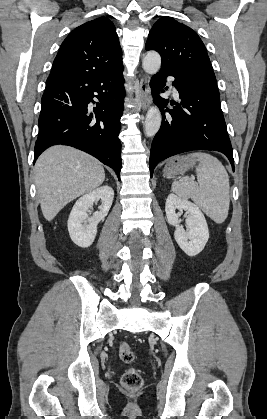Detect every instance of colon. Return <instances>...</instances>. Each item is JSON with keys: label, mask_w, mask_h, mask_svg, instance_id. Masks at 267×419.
Returning a JSON list of instances; mask_svg holds the SVG:
<instances>
[{"label": "colon", "mask_w": 267, "mask_h": 419, "mask_svg": "<svg viewBox=\"0 0 267 419\" xmlns=\"http://www.w3.org/2000/svg\"><path fill=\"white\" fill-rule=\"evenodd\" d=\"M118 353L121 360L125 363H132L135 358L130 345L126 342H121L118 345ZM122 384L129 390H137L142 386L143 379L137 369L129 368L122 375Z\"/></svg>", "instance_id": "obj_1"}]
</instances>
